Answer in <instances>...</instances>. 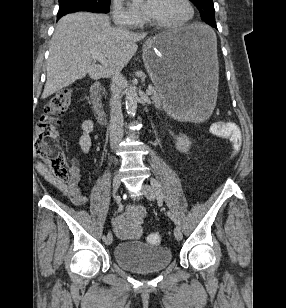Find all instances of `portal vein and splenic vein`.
I'll return each instance as SVG.
<instances>
[{"label":"portal vein and splenic vein","mask_w":286,"mask_h":308,"mask_svg":"<svg viewBox=\"0 0 286 308\" xmlns=\"http://www.w3.org/2000/svg\"><path fill=\"white\" fill-rule=\"evenodd\" d=\"M91 56H92L93 59L98 60L104 67H107L108 62H107V60H106V57H105L102 53H100V52H98V51L92 50V51H91ZM146 93H147V95L153 94V89H152L151 87H149V88L146 90Z\"/></svg>","instance_id":"1"}]
</instances>
